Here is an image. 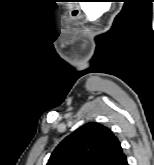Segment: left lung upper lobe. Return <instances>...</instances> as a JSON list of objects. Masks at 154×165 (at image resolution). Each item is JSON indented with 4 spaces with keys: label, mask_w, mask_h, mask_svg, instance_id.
Wrapping results in <instances>:
<instances>
[{
    "label": "left lung upper lobe",
    "mask_w": 154,
    "mask_h": 165,
    "mask_svg": "<svg viewBox=\"0 0 154 165\" xmlns=\"http://www.w3.org/2000/svg\"><path fill=\"white\" fill-rule=\"evenodd\" d=\"M123 156L111 130L90 122L67 136L46 165H117Z\"/></svg>",
    "instance_id": "1"
}]
</instances>
